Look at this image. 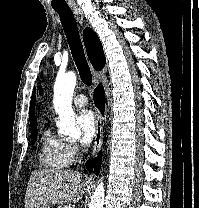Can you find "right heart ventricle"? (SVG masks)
Masks as SVG:
<instances>
[{
  "label": "right heart ventricle",
  "instance_id": "right-heart-ventricle-1",
  "mask_svg": "<svg viewBox=\"0 0 199 208\" xmlns=\"http://www.w3.org/2000/svg\"><path fill=\"white\" fill-rule=\"evenodd\" d=\"M39 160L45 168L50 170H60L69 164L66 142L50 129L42 134Z\"/></svg>",
  "mask_w": 199,
  "mask_h": 208
}]
</instances>
